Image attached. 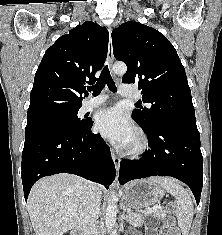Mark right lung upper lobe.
<instances>
[{
	"label": "right lung upper lobe",
	"mask_w": 222,
	"mask_h": 235,
	"mask_svg": "<svg viewBox=\"0 0 222 235\" xmlns=\"http://www.w3.org/2000/svg\"><path fill=\"white\" fill-rule=\"evenodd\" d=\"M109 33L97 23L86 21L61 36L44 54L36 71L27 118L52 113L59 108L82 104L86 84L107 56Z\"/></svg>",
	"instance_id": "obj_1"
}]
</instances>
